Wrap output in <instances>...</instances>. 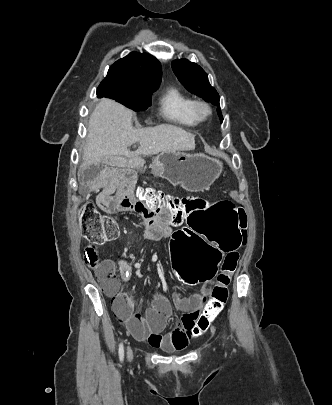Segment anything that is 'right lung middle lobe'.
Returning a JSON list of instances; mask_svg holds the SVG:
<instances>
[{
	"instance_id": "right-lung-middle-lobe-1",
	"label": "right lung middle lobe",
	"mask_w": 332,
	"mask_h": 405,
	"mask_svg": "<svg viewBox=\"0 0 332 405\" xmlns=\"http://www.w3.org/2000/svg\"><path fill=\"white\" fill-rule=\"evenodd\" d=\"M159 84L133 83L121 76H106L97 89L98 97L115 99L134 111H143L151 105V96Z\"/></svg>"
}]
</instances>
